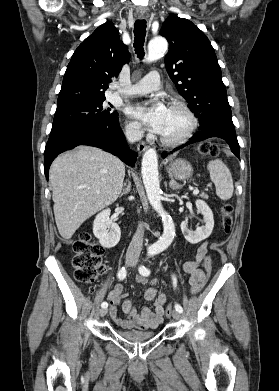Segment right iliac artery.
I'll return each instance as SVG.
<instances>
[{
  "instance_id": "1",
  "label": "right iliac artery",
  "mask_w": 279,
  "mask_h": 391,
  "mask_svg": "<svg viewBox=\"0 0 279 391\" xmlns=\"http://www.w3.org/2000/svg\"><path fill=\"white\" fill-rule=\"evenodd\" d=\"M126 275H127V270H126L125 267H122V268L119 270V272H118V278H119L120 280H123V279L126 278ZM101 307H102V308H107V307H108V303H107V302H103V303L101 304Z\"/></svg>"
}]
</instances>
